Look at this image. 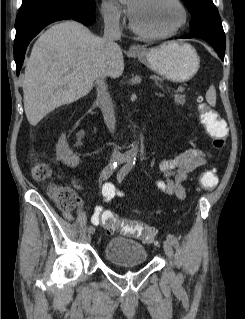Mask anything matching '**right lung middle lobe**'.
Segmentation results:
<instances>
[{
    "instance_id": "right-lung-middle-lobe-1",
    "label": "right lung middle lobe",
    "mask_w": 245,
    "mask_h": 319,
    "mask_svg": "<svg viewBox=\"0 0 245 319\" xmlns=\"http://www.w3.org/2000/svg\"><path fill=\"white\" fill-rule=\"evenodd\" d=\"M50 6H67L75 9H89L95 7L94 0H23L19 13Z\"/></svg>"
}]
</instances>
